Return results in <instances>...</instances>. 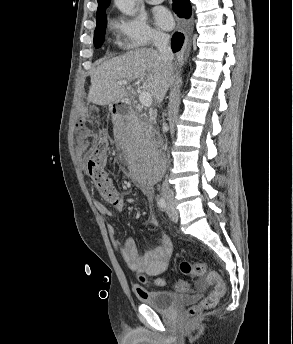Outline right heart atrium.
I'll use <instances>...</instances> for the list:
<instances>
[{"mask_svg":"<svg viewBox=\"0 0 293 344\" xmlns=\"http://www.w3.org/2000/svg\"><path fill=\"white\" fill-rule=\"evenodd\" d=\"M111 28L121 48L127 51L145 49L165 39L164 33L152 28L141 15H117L111 21Z\"/></svg>","mask_w":293,"mask_h":344,"instance_id":"d8ad5b80","label":"right heart atrium"}]
</instances>
